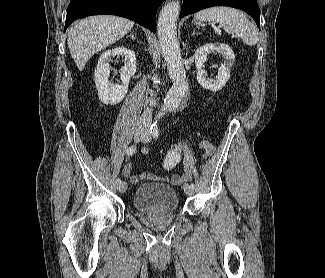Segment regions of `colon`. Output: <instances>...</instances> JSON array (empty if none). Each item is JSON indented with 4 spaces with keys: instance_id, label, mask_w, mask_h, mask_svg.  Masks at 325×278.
I'll use <instances>...</instances> for the list:
<instances>
[{
    "instance_id": "obj_1",
    "label": "colon",
    "mask_w": 325,
    "mask_h": 278,
    "mask_svg": "<svg viewBox=\"0 0 325 278\" xmlns=\"http://www.w3.org/2000/svg\"><path fill=\"white\" fill-rule=\"evenodd\" d=\"M180 159L181 156L179 148L177 146L171 147L164 158L163 168L165 170H172L180 162Z\"/></svg>"
}]
</instances>
